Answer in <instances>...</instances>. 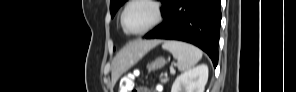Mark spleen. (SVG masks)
Segmentation results:
<instances>
[{
    "label": "spleen",
    "instance_id": "3e777b00",
    "mask_svg": "<svg viewBox=\"0 0 296 92\" xmlns=\"http://www.w3.org/2000/svg\"><path fill=\"white\" fill-rule=\"evenodd\" d=\"M162 48L171 52L180 71L192 68L202 58V51L181 41H165Z\"/></svg>",
    "mask_w": 296,
    "mask_h": 92
}]
</instances>
